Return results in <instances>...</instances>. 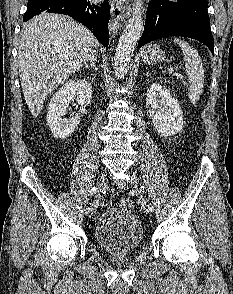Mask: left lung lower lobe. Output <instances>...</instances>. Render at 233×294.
I'll list each match as a JSON object with an SVG mask.
<instances>
[{
    "mask_svg": "<svg viewBox=\"0 0 233 294\" xmlns=\"http://www.w3.org/2000/svg\"><path fill=\"white\" fill-rule=\"evenodd\" d=\"M167 36L199 40L214 54L207 0H151L138 47Z\"/></svg>",
    "mask_w": 233,
    "mask_h": 294,
    "instance_id": "1",
    "label": "left lung lower lobe"
}]
</instances>
